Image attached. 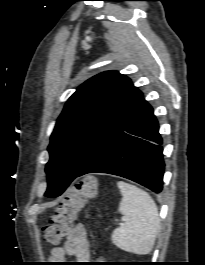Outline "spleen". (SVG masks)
<instances>
[{"label": "spleen", "instance_id": "3e777b00", "mask_svg": "<svg viewBox=\"0 0 205 265\" xmlns=\"http://www.w3.org/2000/svg\"><path fill=\"white\" fill-rule=\"evenodd\" d=\"M117 186L122 194L119 212L125 223L113 231L112 242L127 252L149 254L160 228L157 206L141 188L123 181L117 182Z\"/></svg>", "mask_w": 205, "mask_h": 265}]
</instances>
